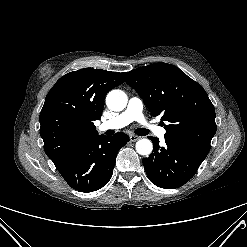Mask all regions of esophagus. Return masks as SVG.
<instances>
[{
    "mask_svg": "<svg viewBox=\"0 0 247 247\" xmlns=\"http://www.w3.org/2000/svg\"><path fill=\"white\" fill-rule=\"evenodd\" d=\"M129 138H130V141H132V142H135V141H137L138 139H140V137L137 136V135H135V134H131V135L129 136Z\"/></svg>",
    "mask_w": 247,
    "mask_h": 247,
    "instance_id": "esophagus-1",
    "label": "esophagus"
}]
</instances>
